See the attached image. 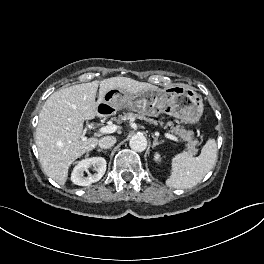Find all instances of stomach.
I'll return each mask as SVG.
<instances>
[{
  "mask_svg": "<svg viewBox=\"0 0 264 264\" xmlns=\"http://www.w3.org/2000/svg\"><path fill=\"white\" fill-rule=\"evenodd\" d=\"M124 108L142 116L157 117L166 113L185 123H196L202 116L203 102L193 89L183 85L149 89L137 95L114 88L108 90L103 101L97 104V114L108 116Z\"/></svg>",
  "mask_w": 264,
  "mask_h": 264,
  "instance_id": "1",
  "label": "stomach"
}]
</instances>
